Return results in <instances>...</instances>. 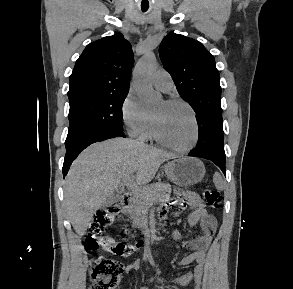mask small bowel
I'll return each mask as SVG.
<instances>
[{
	"instance_id": "small-bowel-1",
	"label": "small bowel",
	"mask_w": 293,
	"mask_h": 289,
	"mask_svg": "<svg viewBox=\"0 0 293 289\" xmlns=\"http://www.w3.org/2000/svg\"><path fill=\"white\" fill-rule=\"evenodd\" d=\"M182 201L183 206H189L193 209V212L188 219L189 226L194 227L197 224H200L202 233L186 244L189 253L180 261V265L182 266L194 263L196 264L195 268L192 272L171 283L175 285H187L190 286L191 289H201L206 253L215 234L217 222L215 217L206 210L205 203L197 195L186 193L183 196ZM161 217L163 218L165 215L161 214ZM172 238L175 241H180V232L178 230L173 231ZM140 267L141 264L137 261L130 263L126 266V272L130 273ZM149 283H165V281L160 278H154L150 279Z\"/></svg>"
}]
</instances>
